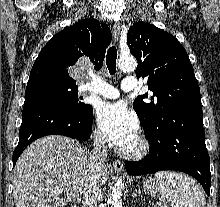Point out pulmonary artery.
Returning <instances> with one entry per match:
<instances>
[{
    "label": "pulmonary artery",
    "instance_id": "obj_1",
    "mask_svg": "<svg viewBox=\"0 0 220 207\" xmlns=\"http://www.w3.org/2000/svg\"><path fill=\"white\" fill-rule=\"evenodd\" d=\"M136 86L137 82L134 77H126L121 83V89L124 92L133 91L136 89ZM88 89L92 93L108 99H115L120 95L119 91L115 87L100 80L93 82Z\"/></svg>",
    "mask_w": 220,
    "mask_h": 207
}]
</instances>
